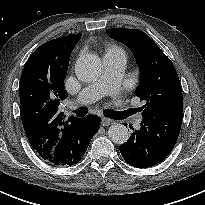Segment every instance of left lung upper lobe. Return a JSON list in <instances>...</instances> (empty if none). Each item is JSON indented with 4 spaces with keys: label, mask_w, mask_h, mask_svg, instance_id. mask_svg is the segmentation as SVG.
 Listing matches in <instances>:
<instances>
[{
    "label": "left lung upper lobe",
    "mask_w": 205,
    "mask_h": 205,
    "mask_svg": "<svg viewBox=\"0 0 205 205\" xmlns=\"http://www.w3.org/2000/svg\"><path fill=\"white\" fill-rule=\"evenodd\" d=\"M108 33L126 44L134 53L140 69L135 94L146 103L140 107L143 119L182 114L183 95L177 72L163 51L138 29L114 28Z\"/></svg>",
    "instance_id": "5c2ea615"
}]
</instances>
